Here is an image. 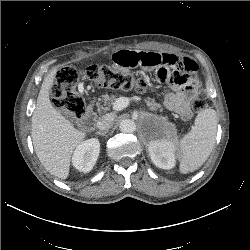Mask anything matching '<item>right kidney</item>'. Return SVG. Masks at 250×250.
I'll use <instances>...</instances> for the list:
<instances>
[{
	"label": "right kidney",
	"instance_id": "1",
	"mask_svg": "<svg viewBox=\"0 0 250 250\" xmlns=\"http://www.w3.org/2000/svg\"><path fill=\"white\" fill-rule=\"evenodd\" d=\"M99 152V140L96 138L88 139L76 147L72 156V164L81 172H90L98 159Z\"/></svg>",
	"mask_w": 250,
	"mask_h": 250
}]
</instances>
